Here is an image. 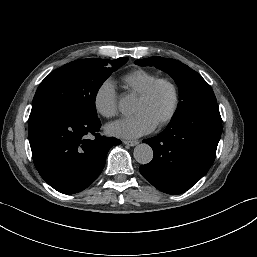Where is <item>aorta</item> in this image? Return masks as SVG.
<instances>
[{
  "instance_id": "762f6f07",
  "label": "aorta",
  "mask_w": 257,
  "mask_h": 257,
  "mask_svg": "<svg viewBox=\"0 0 257 257\" xmlns=\"http://www.w3.org/2000/svg\"><path fill=\"white\" fill-rule=\"evenodd\" d=\"M118 108L123 114L131 113L134 110L133 98L122 96L118 102ZM134 158L142 165L148 164L153 158V150L148 144H139L134 148Z\"/></svg>"
}]
</instances>
